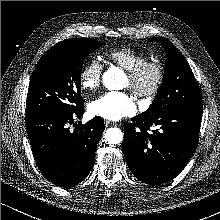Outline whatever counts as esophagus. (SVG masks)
<instances>
[{
	"label": "esophagus",
	"mask_w": 220,
	"mask_h": 220,
	"mask_svg": "<svg viewBox=\"0 0 220 220\" xmlns=\"http://www.w3.org/2000/svg\"><path fill=\"white\" fill-rule=\"evenodd\" d=\"M104 123H105L106 127H109V126H113V125H114V123L111 122V121H109V120H105Z\"/></svg>",
	"instance_id": "34e87169"
}]
</instances>
